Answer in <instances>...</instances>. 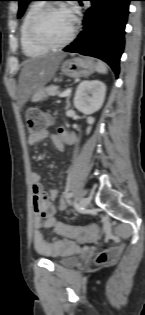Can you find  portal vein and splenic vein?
I'll use <instances>...</instances> for the list:
<instances>
[{"label": "portal vein and splenic vein", "instance_id": "obj_1", "mask_svg": "<svg viewBox=\"0 0 145 315\" xmlns=\"http://www.w3.org/2000/svg\"><path fill=\"white\" fill-rule=\"evenodd\" d=\"M71 93V89L65 90L63 93L59 95V97H66Z\"/></svg>", "mask_w": 145, "mask_h": 315}]
</instances>
